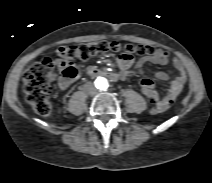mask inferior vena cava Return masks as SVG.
Masks as SVG:
<instances>
[{
    "instance_id": "inferior-vena-cava-1",
    "label": "inferior vena cava",
    "mask_w": 212,
    "mask_h": 183,
    "mask_svg": "<svg viewBox=\"0 0 212 183\" xmlns=\"http://www.w3.org/2000/svg\"><path fill=\"white\" fill-rule=\"evenodd\" d=\"M84 87H85L86 92L90 95H95L98 92V90L96 89L94 84L91 82L86 83Z\"/></svg>"
}]
</instances>
